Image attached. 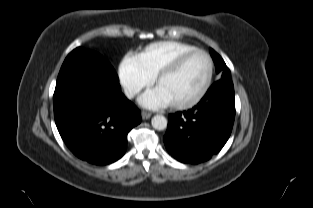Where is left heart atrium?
<instances>
[{
    "label": "left heart atrium",
    "mask_w": 313,
    "mask_h": 208,
    "mask_svg": "<svg viewBox=\"0 0 313 208\" xmlns=\"http://www.w3.org/2000/svg\"><path fill=\"white\" fill-rule=\"evenodd\" d=\"M140 102L149 108L166 107L170 104L169 101L157 89L144 94L140 98Z\"/></svg>",
    "instance_id": "obj_1"
}]
</instances>
